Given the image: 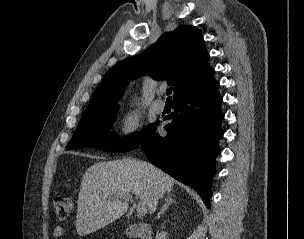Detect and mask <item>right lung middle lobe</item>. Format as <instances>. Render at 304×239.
<instances>
[{"label":"right lung middle lobe","instance_id":"dd1d6c3e","mask_svg":"<svg viewBox=\"0 0 304 239\" xmlns=\"http://www.w3.org/2000/svg\"><path fill=\"white\" fill-rule=\"evenodd\" d=\"M118 106L82 117L66 150L94 146L101 150L126 152L137 147L152 132L156 123L144 129V133L135 134L126 139L118 140L110 136L108 129L114 122Z\"/></svg>","mask_w":304,"mask_h":239}]
</instances>
